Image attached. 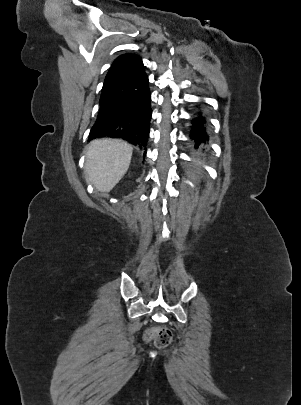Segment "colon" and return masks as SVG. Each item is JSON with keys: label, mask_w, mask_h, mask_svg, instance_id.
Returning a JSON list of instances; mask_svg holds the SVG:
<instances>
[{"label": "colon", "mask_w": 301, "mask_h": 405, "mask_svg": "<svg viewBox=\"0 0 301 405\" xmlns=\"http://www.w3.org/2000/svg\"><path fill=\"white\" fill-rule=\"evenodd\" d=\"M144 339L153 342L157 348H165L172 341V333L165 327L149 329L145 332Z\"/></svg>", "instance_id": "colon-1"}]
</instances>
